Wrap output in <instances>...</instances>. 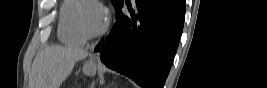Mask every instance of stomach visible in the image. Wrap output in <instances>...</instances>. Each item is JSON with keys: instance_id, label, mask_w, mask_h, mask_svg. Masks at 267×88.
Returning a JSON list of instances; mask_svg holds the SVG:
<instances>
[{"instance_id": "1", "label": "stomach", "mask_w": 267, "mask_h": 88, "mask_svg": "<svg viewBox=\"0 0 267 88\" xmlns=\"http://www.w3.org/2000/svg\"><path fill=\"white\" fill-rule=\"evenodd\" d=\"M96 69H97V63L92 61H87L83 67V72L88 76H92L95 74Z\"/></svg>"}]
</instances>
